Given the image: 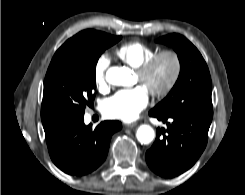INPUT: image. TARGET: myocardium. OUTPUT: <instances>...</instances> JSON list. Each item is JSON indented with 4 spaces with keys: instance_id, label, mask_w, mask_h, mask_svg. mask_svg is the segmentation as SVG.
Returning a JSON list of instances; mask_svg holds the SVG:
<instances>
[{
    "instance_id": "obj_1",
    "label": "myocardium",
    "mask_w": 245,
    "mask_h": 195,
    "mask_svg": "<svg viewBox=\"0 0 245 195\" xmlns=\"http://www.w3.org/2000/svg\"><path fill=\"white\" fill-rule=\"evenodd\" d=\"M163 57L170 58L172 62V72L168 81L162 88L149 91L152 96L158 98L168 95L179 80L182 69V62L179 54L171 49L156 52L136 69L137 76L139 77L140 81L143 82L155 64Z\"/></svg>"
}]
</instances>
